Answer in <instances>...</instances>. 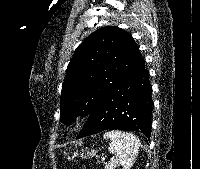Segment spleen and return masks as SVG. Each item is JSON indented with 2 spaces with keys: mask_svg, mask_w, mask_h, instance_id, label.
Segmentation results:
<instances>
[{
  "mask_svg": "<svg viewBox=\"0 0 200 169\" xmlns=\"http://www.w3.org/2000/svg\"><path fill=\"white\" fill-rule=\"evenodd\" d=\"M103 138L110 139L109 152L116 155V160L122 166H132L141 145L140 140L134 134L113 130L106 132Z\"/></svg>",
  "mask_w": 200,
  "mask_h": 169,
  "instance_id": "3e777b00",
  "label": "spleen"
}]
</instances>
